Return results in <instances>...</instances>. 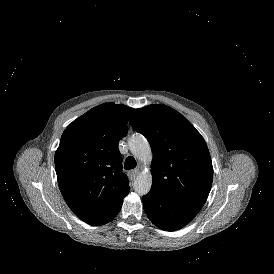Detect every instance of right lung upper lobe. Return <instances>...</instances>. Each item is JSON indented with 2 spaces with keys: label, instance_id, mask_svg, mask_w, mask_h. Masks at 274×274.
Here are the masks:
<instances>
[{
  "label": "right lung upper lobe",
  "instance_id": "obj_1",
  "mask_svg": "<svg viewBox=\"0 0 274 274\" xmlns=\"http://www.w3.org/2000/svg\"><path fill=\"white\" fill-rule=\"evenodd\" d=\"M133 111L104 103L74 120L62 134L55 153L58 185L70 209L88 224L112 221L129 193L118 143L128 132Z\"/></svg>",
  "mask_w": 274,
  "mask_h": 274
}]
</instances>
